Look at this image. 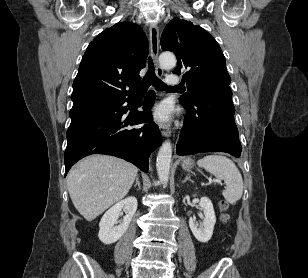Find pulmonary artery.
<instances>
[{"label": "pulmonary artery", "instance_id": "1", "mask_svg": "<svg viewBox=\"0 0 308 278\" xmlns=\"http://www.w3.org/2000/svg\"><path fill=\"white\" fill-rule=\"evenodd\" d=\"M166 82L169 86H177L180 84L181 79L177 75H169L166 79Z\"/></svg>", "mask_w": 308, "mask_h": 278}]
</instances>
